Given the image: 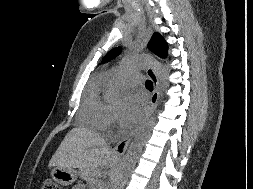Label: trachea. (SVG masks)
<instances>
[{
	"instance_id": "3493384b",
	"label": "trachea",
	"mask_w": 253,
	"mask_h": 189,
	"mask_svg": "<svg viewBox=\"0 0 253 189\" xmlns=\"http://www.w3.org/2000/svg\"><path fill=\"white\" fill-rule=\"evenodd\" d=\"M146 88H147L148 90H150V91L153 90V83H152V81H150V80H147V81H146Z\"/></svg>"
}]
</instances>
